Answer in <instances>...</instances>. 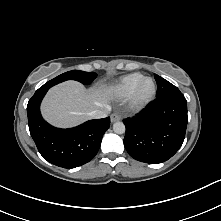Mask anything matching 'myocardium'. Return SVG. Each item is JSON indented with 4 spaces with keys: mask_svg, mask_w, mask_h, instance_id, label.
<instances>
[{
    "mask_svg": "<svg viewBox=\"0 0 221 221\" xmlns=\"http://www.w3.org/2000/svg\"><path fill=\"white\" fill-rule=\"evenodd\" d=\"M150 81L152 83V89L148 95L143 96L141 94L142 86L145 82ZM157 92V86L155 81L150 77H144L134 88L129 96V106L133 110H141L145 108L154 99Z\"/></svg>",
    "mask_w": 221,
    "mask_h": 221,
    "instance_id": "obj_1",
    "label": "myocardium"
}]
</instances>
